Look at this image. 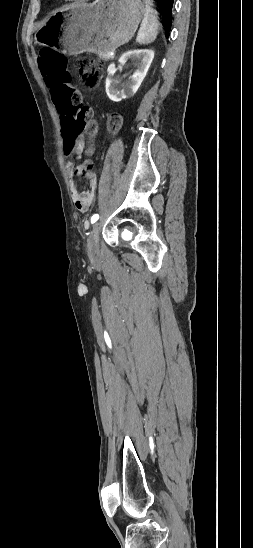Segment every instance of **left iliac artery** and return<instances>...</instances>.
<instances>
[{"instance_id": "left-iliac-artery-1", "label": "left iliac artery", "mask_w": 253, "mask_h": 548, "mask_svg": "<svg viewBox=\"0 0 253 548\" xmlns=\"http://www.w3.org/2000/svg\"><path fill=\"white\" fill-rule=\"evenodd\" d=\"M99 219V215L98 214H94L92 217H91V223H95L97 220Z\"/></svg>"}]
</instances>
